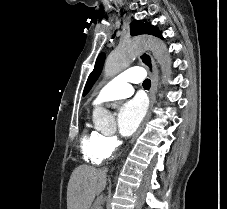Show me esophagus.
<instances>
[{"label": "esophagus", "instance_id": "obj_1", "mask_svg": "<svg viewBox=\"0 0 227 209\" xmlns=\"http://www.w3.org/2000/svg\"><path fill=\"white\" fill-rule=\"evenodd\" d=\"M139 63L146 68L148 71L149 77L151 79V89H150V107H152L153 103L155 102V94L157 92L158 88V81H159V76H158V69L155 63V60L153 57L148 53V52H142L138 56Z\"/></svg>", "mask_w": 227, "mask_h": 209}]
</instances>
